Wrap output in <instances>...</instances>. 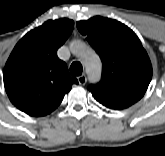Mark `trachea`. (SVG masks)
Returning a JSON list of instances; mask_svg holds the SVG:
<instances>
[{
    "instance_id": "obj_1",
    "label": "trachea",
    "mask_w": 165,
    "mask_h": 156,
    "mask_svg": "<svg viewBox=\"0 0 165 156\" xmlns=\"http://www.w3.org/2000/svg\"><path fill=\"white\" fill-rule=\"evenodd\" d=\"M83 68L80 62H73L70 66V73L72 76H80L82 74Z\"/></svg>"
}]
</instances>
